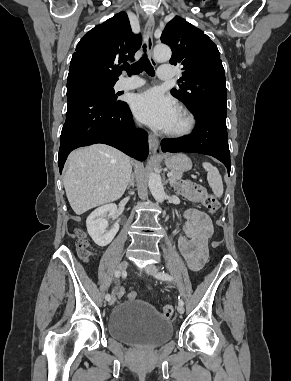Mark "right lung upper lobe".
Instances as JSON below:
<instances>
[{"mask_svg":"<svg viewBox=\"0 0 291 381\" xmlns=\"http://www.w3.org/2000/svg\"><path fill=\"white\" fill-rule=\"evenodd\" d=\"M141 35H134L125 12L95 26L77 44L68 78H86L116 83L121 61L133 60L141 46Z\"/></svg>","mask_w":291,"mask_h":381,"instance_id":"obj_1","label":"right lung upper lobe"}]
</instances>
